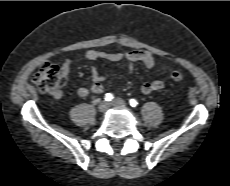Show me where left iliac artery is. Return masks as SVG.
I'll use <instances>...</instances> for the list:
<instances>
[{"instance_id": "left-iliac-artery-1", "label": "left iliac artery", "mask_w": 230, "mask_h": 186, "mask_svg": "<svg viewBox=\"0 0 230 186\" xmlns=\"http://www.w3.org/2000/svg\"><path fill=\"white\" fill-rule=\"evenodd\" d=\"M129 104L132 106V107H136L138 105V102L135 100V99H130L129 100Z\"/></svg>"}]
</instances>
